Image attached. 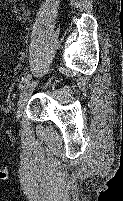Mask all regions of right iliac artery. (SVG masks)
<instances>
[{"instance_id": "obj_1", "label": "right iliac artery", "mask_w": 123, "mask_h": 201, "mask_svg": "<svg viewBox=\"0 0 123 201\" xmlns=\"http://www.w3.org/2000/svg\"><path fill=\"white\" fill-rule=\"evenodd\" d=\"M30 79H31V75L30 74H27L24 77H22V79L20 81V84L18 86L19 90H22Z\"/></svg>"}]
</instances>
